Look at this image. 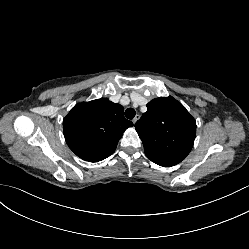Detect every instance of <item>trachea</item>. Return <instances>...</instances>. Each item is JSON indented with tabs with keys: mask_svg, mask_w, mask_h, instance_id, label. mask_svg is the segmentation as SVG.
Returning a JSON list of instances; mask_svg holds the SVG:
<instances>
[{
	"mask_svg": "<svg viewBox=\"0 0 249 249\" xmlns=\"http://www.w3.org/2000/svg\"><path fill=\"white\" fill-rule=\"evenodd\" d=\"M135 115H136V112L133 108L126 109V111H125L126 118L133 119L135 117Z\"/></svg>",
	"mask_w": 249,
	"mask_h": 249,
	"instance_id": "trachea-1",
	"label": "trachea"
}]
</instances>
